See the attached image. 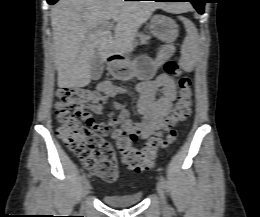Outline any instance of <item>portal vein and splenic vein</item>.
Wrapping results in <instances>:
<instances>
[{
	"label": "portal vein and splenic vein",
	"instance_id": "18ae733b",
	"mask_svg": "<svg viewBox=\"0 0 260 217\" xmlns=\"http://www.w3.org/2000/svg\"><path fill=\"white\" fill-rule=\"evenodd\" d=\"M113 26H114L113 23L107 22V23H104V24L102 25V28L111 29V28H113Z\"/></svg>",
	"mask_w": 260,
	"mask_h": 217
}]
</instances>
